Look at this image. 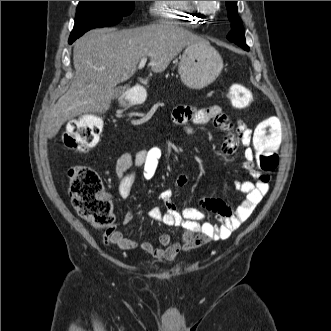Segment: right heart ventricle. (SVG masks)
I'll return each instance as SVG.
<instances>
[{
    "mask_svg": "<svg viewBox=\"0 0 331 331\" xmlns=\"http://www.w3.org/2000/svg\"><path fill=\"white\" fill-rule=\"evenodd\" d=\"M160 21L178 22L185 26H196L208 11L198 8L195 1H154L151 9Z\"/></svg>",
    "mask_w": 331,
    "mask_h": 331,
    "instance_id": "1",
    "label": "right heart ventricle"
}]
</instances>
